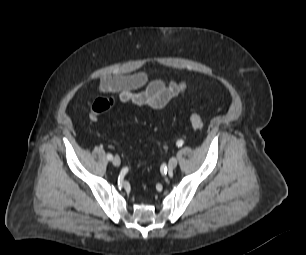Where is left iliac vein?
Segmentation results:
<instances>
[{
	"mask_svg": "<svg viewBox=\"0 0 306 255\" xmlns=\"http://www.w3.org/2000/svg\"><path fill=\"white\" fill-rule=\"evenodd\" d=\"M177 163H178V160L176 157H172L170 158L169 162H168V169L169 170H173L176 168L177 166Z\"/></svg>",
	"mask_w": 306,
	"mask_h": 255,
	"instance_id": "4c4485c4",
	"label": "left iliac vein"
}]
</instances>
